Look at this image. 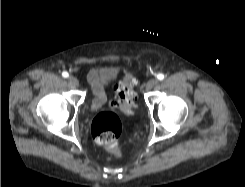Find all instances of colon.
Returning a JSON list of instances; mask_svg holds the SVG:
<instances>
[{
  "label": "colon",
  "instance_id": "1",
  "mask_svg": "<svg viewBox=\"0 0 245 187\" xmlns=\"http://www.w3.org/2000/svg\"><path fill=\"white\" fill-rule=\"evenodd\" d=\"M135 78L127 73L116 88L114 105L125 114H132L136 108L134 92ZM121 119L112 112L98 114L91 126L95 141L114 155H119L118 139L122 132Z\"/></svg>",
  "mask_w": 245,
  "mask_h": 187
}]
</instances>
